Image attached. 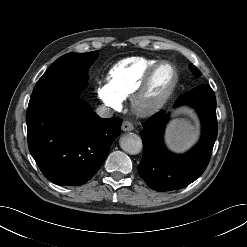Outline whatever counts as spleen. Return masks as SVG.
<instances>
[{"instance_id": "obj_1", "label": "spleen", "mask_w": 247, "mask_h": 247, "mask_svg": "<svg viewBox=\"0 0 247 247\" xmlns=\"http://www.w3.org/2000/svg\"><path fill=\"white\" fill-rule=\"evenodd\" d=\"M197 140L195 127L186 119H175L166 128L165 142L169 149L183 152Z\"/></svg>"}]
</instances>
